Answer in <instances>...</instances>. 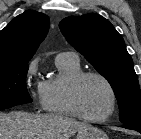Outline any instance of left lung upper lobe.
Here are the masks:
<instances>
[{"mask_svg":"<svg viewBox=\"0 0 141 139\" xmlns=\"http://www.w3.org/2000/svg\"><path fill=\"white\" fill-rule=\"evenodd\" d=\"M66 40L85 56L114 90L124 124L141 123V90L122 36L98 14L67 17L59 24Z\"/></svg>","mask_w":141,"mask_h":139,"instance_id":"obj_1","label":"left lung upper lobe"}]
</instances>
